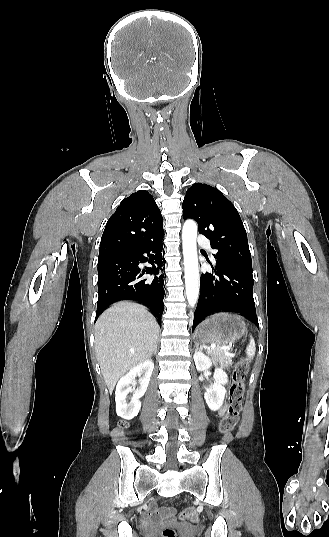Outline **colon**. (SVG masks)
<instances>
[{"instance_id": "1", "label": "colon", "mask_w": 329, "mask_h": 537, "mask_svg": "<svg viewBox=\"0 0 329 537\" xmlns=\"http://www.w3.org/2000/svg\"><path fill=\"white\" fill-rule=\"evenodd\" d=\"M248 371V363L240 361L234 366L233 370V385L229 393V407L225 417L223 418L220 429L226 433L233 430L238 423L239 414L242 406L244 394V379ZM125 426L124 423H120ZM181 521L196 522L198 519L197 512L193 508L185 509L179 514ZM162 537H176V533L172 528H165L161 534Z\"/></svg>"}]
</instances>
